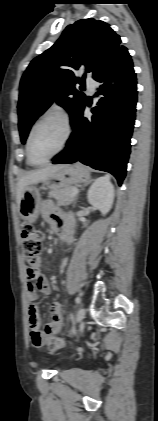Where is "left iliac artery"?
Returning <instances> with one entry per match:
<instances>
[{
    "label": "left iliac artery",
    "mask_w": 158,
    "mask_h": 421,
    "mask_svg": "<svg viewBox=\"0 0 158 421\" xmlns=\"http://www.w3.org/2000/svg\"><path fill=\"white\" fill-rule=\"evenodd\" d=\"M75 302H76L77 304H80V303H81V298H80V297H76Z\"/></svg>",
    "instance_id": "1"
}]
</instances>
